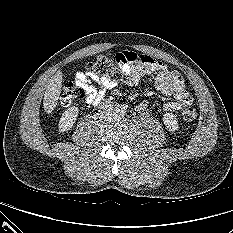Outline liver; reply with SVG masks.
I'll return each mask as SVG.
<instances>
[{"label":"liver","mask_w":233,"mask_h":233,"mask_svg":"<svg viewBox=\"0 0 233 233\" xmlns=\"http://www.w3.org/2000/svg\"><path fill=\"white\" fill-rule=\"evenodd\" d=\"M62 87V72H57L47 85L44 94L43 107L46 113H51L57 105Z\"/></svg>","instance_id":"6515ba94"}]
</instances>
